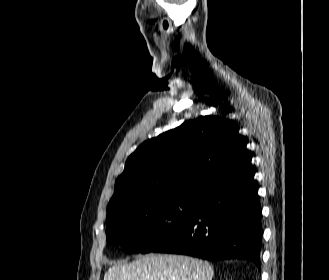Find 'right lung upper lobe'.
<instances>
[{
	"label": "right lung upper lobe",
	"mask_w": 329,
	"mask_h": 280,
	"mask_svg": "<svg viewBox=\"0 0 329 280\" xmlns=\"http://www.w3.org/2000/svg\"><path fill=\"white\" fill-rule=\"evenodd\" d=\"M251 159L232 120L200 116L142 143L127 159L108 207L151 196L201 197Z\"/></svg>",
	"instance_id": "1"
}]
</instances>
